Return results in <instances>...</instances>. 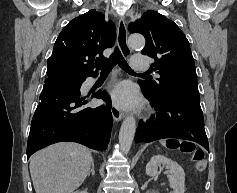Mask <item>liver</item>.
Returning <instances> with one entry per match:
<instances>
[{
	"label": "liver",
	"instance_id": "liver-1",
	"mask_svg": "<svg viewBox=\"0 0 237 193\" xmlns=\"http://www.w3.org/2000/svg\"><path fill=\"white\" fill-rule=\"evenodd\" d=\"M91 151L77 143L60 142L36 152L30 174L36 193H72L87 177Z\"/></svg>",
	"mask_w": 237,
	"mask_h": 193
}]
</instances>
